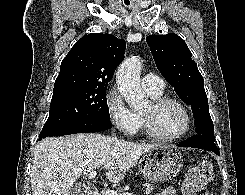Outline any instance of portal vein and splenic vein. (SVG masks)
I'll return each mask as SVG.
<instances>
[{"mask_svg":"<svg viewBox=\"0 0 245 195\" xmlns=\"http://www.w3.org/2000/svg\"><path fill=\"white\" fill-rule=\"evenodd\" d=\"M96 175H97V171L93 170L88 174V179H94ZM102 192L105 193V195H135L133 193H128V192L120 193L109 189H104Z\"/></svg>","mask_w":245,"mask_h":195,"instance_id":"portal-vein-and-splenic-vein-1","label":"portal vein and splenic vein"}]
</instances>
